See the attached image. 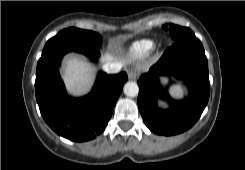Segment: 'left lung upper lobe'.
I'll return each instance as SVG.
<instances>
[{
    "label": "left lung upper lobe",
    "instance_id": "5c2ea615",
    "mask_svg": "<svg viewBox=\"0 0 245 170\" xmlns=\"http://www.w3.org/2000/svg\"><path fill=\"white\" fill-rule=\"evenodd\" d=\"M163 28L170 31V35L175 41H183L202 46V43L196 38L195 34L189 28L174 24H170L169 26L164 25Z\"/></svg>",
    "mask_w": 245,
    "mask_h": 170
}]
</instances>
